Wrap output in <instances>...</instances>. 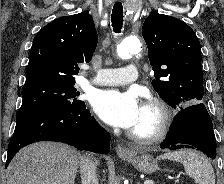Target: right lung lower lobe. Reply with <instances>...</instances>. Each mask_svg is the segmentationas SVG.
Here are the masks:
<instances>
[{
    "instance_id": "98d812e1",
    "label": "right lung lower lobe",
    "mask_w": 224,
    "mask_h": 184,
    "mask_svg": "<svg viewBox=\"0 0 224 184\" xmlns=\"http://www.w3.org/2000/svg\"><path fill=\"white\" fill-rule=\"evenodd\" d=\"M111 137L91 116L85 104L76 110L46 109L24 116L8 145L6 167L24 146L38 141L63 142L79 150L106 154Z\"/></svg>"
}]
</instances>
